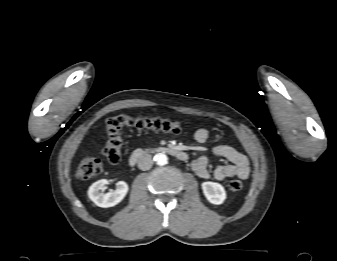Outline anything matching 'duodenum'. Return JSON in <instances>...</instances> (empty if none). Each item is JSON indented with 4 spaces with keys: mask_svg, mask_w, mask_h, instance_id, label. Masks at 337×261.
Listing matches in <instances>:
<instances>
[{
    "mask_svg": "<svg viewBox=\"0 0 337 261\" xmlns=\"http://www.w3.org/2000/svg\"><path fill=\"white\" fill-rule=\"evenodd\" d=\"M150 152L170 154L181 161L188 160V154L183 150H180L172 146H157V147H151V148H140V149L135 150L129 158L130 166H135L141 159L144 158L146 154Z\"/></svg>",
    "mask_w": 337,
    "mask_h": 261,
    "instance_id": "duodenum-1",
    "label": "duodenum"
}]
</instances>
